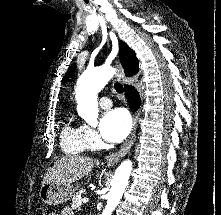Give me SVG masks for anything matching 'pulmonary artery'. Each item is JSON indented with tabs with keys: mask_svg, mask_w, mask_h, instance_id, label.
<instances>
[{
	"mask_svg": "<svg viewBox=\"0 0 221 215\" xmlns=\"http://www.w3.org/2000/svg\"><path fill=\"white\" fill-rule=\"evenodd\" d=\"M99 105L103 108V109H108L112 106V101L110 98L108 97H102L99 100Z\"/></svg>",
	"mask_w": 221,
	"mask_h": 215,
	"instance_id": "pulmonary-artery-1",
	"label": "pulmonary artery"
}]
</instances>
